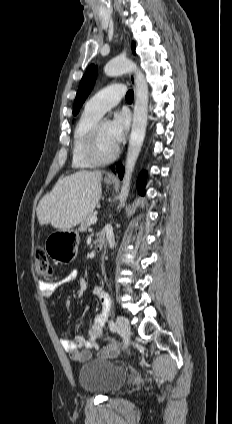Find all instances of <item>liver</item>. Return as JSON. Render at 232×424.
<instances>
[{
	"mask_svg": "<svg viewBox=\"0 0 232 424\" xmlns=\"http://www.w3.org/2000/svg\"><path fill=\"white\" fill-rule=\"evenodd\" d=\"M101 171L81 170L57 181L37 207L40 225L70 230L93 212L101 195Z\"/></svg>",
	"mask_w": 232,
	"mask_h": 424,
	"instance_id": "liver-1",
	"label": "liver"
}]
</instances>
